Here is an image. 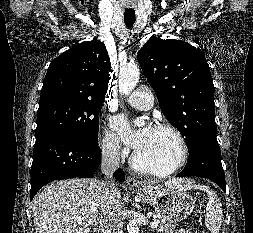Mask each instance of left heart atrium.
<instances>
[{"label": "left heart atrium", "mask_w": 253, "mask_h": 233, "mask_svg": "<svg viewBox=\"0 0 253 233\" xmlns=\"http://www.w3.org/2000/svg\"><path fill=\"white\" fill-rule=\"evenodd\" d=\"M114 125L122 135L125 142L136 150L139 149L145 142L151 129L149 127H145L139 131H132L124 116L116 117L114 119Z\"/></svg>", "instance_id": "39dd6f15"}]
</instances>
